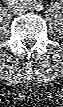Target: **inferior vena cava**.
I'll list each match as a JSON object with an SVG mask.
<instances>
[{
	"mask_svg": "<svg viewBox=\"0 0 63 107\" xmlns=\"http://www.w3.org/2000/svg\"><path fill=\"white\" fill-rule=\"evenodd\" d=\"M18 12H24L25 8L23 6L18 7V9H16Z\"/></svg>",
	"mask_w": 63,
	"mask_h": 107,
	"instance_id": "1",
	"label": "inferior vena cava"
}]
</instances>
